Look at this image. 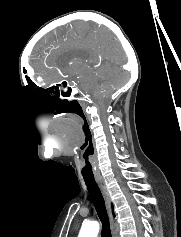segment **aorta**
<instances>
[{
	"instance_id": "obj_1",
	"label": "aorta",
	"mask_w": 181,
	"mask_h": 237,
	"mask_svg": "<svg viewBox=\"0 0 181 237\" xmlns=\"http://www.w3.org/2000/svg\"><path fill=\"white\" fill-rule=\"evenodd\" d=\"M99 229L100 227L98 222H87L82 225L78 237H97Z\"/></svg>"
}]
</instances>
